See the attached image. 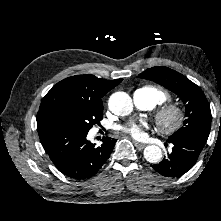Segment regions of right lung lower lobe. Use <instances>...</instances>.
<instances>
[{
	"instance_id": "1",
	"label": "right lung lower lobe",
	"mask_w": 221,
	"mask_h": 221,
	"mask_svg": "<svg viewBox=\"0 0 221 221\" xmlns=\"http://www.w3.org/2000/svg\"><path fill=\"white\" fill-rule=\"evenodd\" d=\"M37 131L45 152L56 168L78 180L96 174L116 143V139L105 137L102 145L96 147L86 140L87 133L54 121L37 122Z\"/></svg>"
}]
</instances>
